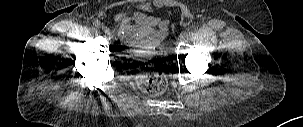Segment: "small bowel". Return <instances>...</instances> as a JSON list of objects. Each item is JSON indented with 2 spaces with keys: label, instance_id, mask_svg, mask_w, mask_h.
<instances>
[{
  "label": "small bowel",
  "instance_id": "c3829d8e",
  "mask_svg": "<svg viewBox=\"0 0 303 127\" xmlns=\"http://www.w3.org/2000/svg\"><path fill=\"white\" fill-rule=\"evenodd\" d=\"M115 20L121 33L133 31L138 36H148L151 40L163 37L167 31V22L138 11L118 13Z\"/></svg>",
  "mask_w": 303,
  "mask_h": 127
}]
</instances>
